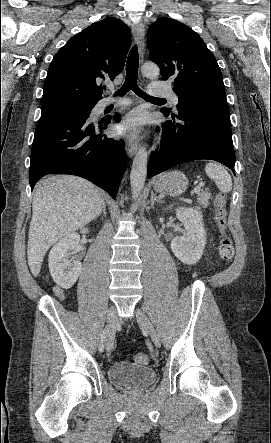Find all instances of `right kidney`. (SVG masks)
Instances as JSON below:
<instances>
[{
	"label": "right kidney",
	"mask_w": 271,
	"mask_h": 443,
	"mask_svg": "<svg viewBox=\"0 0 271 443\" xmlns=\"http://www.w3.org/2000/svg\"><path fill=\"white\" fill-rule=\"evenodd\" d=\"M88 231V227L81 229V233H88ZM79 241V233H67L49 251L50 273L55 283L64 289L72 287L82 269L80 261H75V257H71L72 253H76Z\"/></svg>",
	"instance_id": "1"
}]
</instances>
